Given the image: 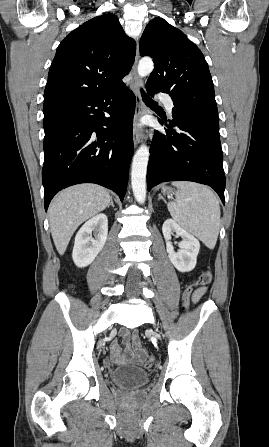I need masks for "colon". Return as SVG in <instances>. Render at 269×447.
Returning a JSON list of instances; mask_svg holds the SVG:
<instances>
[{
    "instance_id": "5ec220e1",
    "label": "colon",
    "mask_w": 269,
    "mask_h": 447,
    "mask_svg": "<svg viewBox=\"0 0 269 447\" xmlns=\"http://www.w3.org/2000/svg\"><path fill=\"white\" fill-rule=\"evenodd\" d=\"M212 280H213L212 272L210 270H206L190 286L185 287V290L181 297L184 310L188 309L190 298L192 297L194 291L200 287L208 285L209 283H211ZM141 362L146 368H150L154 360L149 356H143L141 358Z\"/></svg>"
}]
</instances>
